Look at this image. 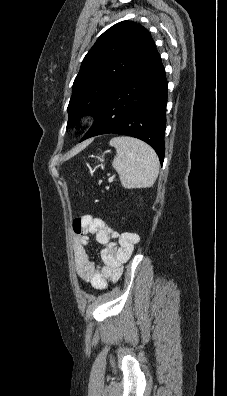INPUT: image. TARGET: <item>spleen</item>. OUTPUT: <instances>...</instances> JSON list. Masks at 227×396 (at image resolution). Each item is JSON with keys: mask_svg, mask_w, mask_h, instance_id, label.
<instances>
[{"mask_svg": "<svg viewBox=\"0 0 227 396\" xmlns=\"http://www.w3.org/2000/svg\"><path fill=\"white\" fill-rule=\"evenodd\" d=\"M109 144L116 149L112 166L124 188H147L154 184L159 173V159L148 144L128 136L115 137Z\"/></svg>", "mask_w": 227, "mask_h": 396, "instance_id": "spleen-1", "label": "spleen"}]
</instances>
